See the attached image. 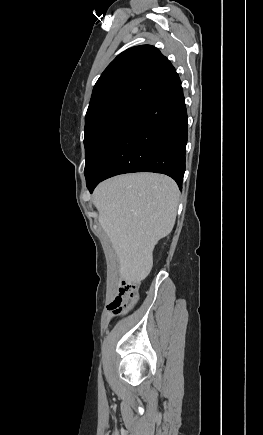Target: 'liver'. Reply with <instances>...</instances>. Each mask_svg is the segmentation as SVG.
<instances>
[{
	"mask_svg": "<svg viewBox=\"0 0 263 435\" xmlns=\"http://www.w3.org/2000/svg\"><path fill=\"white\" fill-rule=\"evenodd\" d=\"M179 189L153 173L117 176L97 186L93 203L119 260L120 277L140 283L153 266V249L173 229Z\"/></svg>",
	"mask_w": 263,
	"mask_h": 435,
	"instance_id": "obj_1",
	"label": "liver"
}]
</instances>
